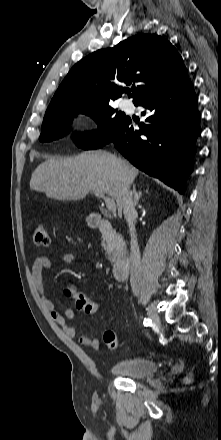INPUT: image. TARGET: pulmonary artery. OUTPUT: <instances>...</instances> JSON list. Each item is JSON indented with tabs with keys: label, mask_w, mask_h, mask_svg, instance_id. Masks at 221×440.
Returning a JSON list of instances; mask_svg holds the SVG:
<instances>
[{
	"label": "pulmonary artery",
	"mask_w": 221,
	"mask_h": 440,
	"mask_svg": "<svg viewBox=\"0 0 221 440\" xmlns=\"http://www.w3.org/2000/svg\"><path fill=\"white\" fill-rule=\"evenodd\" d=\"M121 108H122L123 110H127V111H129V110L132 109V103H131L129 100H123V101L121 102Z\"/></svg>",
	"instance_id": "obj_1"
}]
</instances>
